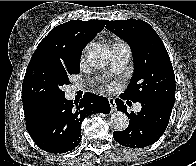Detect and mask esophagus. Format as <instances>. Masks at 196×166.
Returning a JSON list of instances; mask_svg holds the SVG:
<instances>
[{"label":"esophagus","instance_id":"obj_1","mask_svg":"<svg viewBox=\"0 0 196 166\" xmlns=\"http://www.w3.org/2000/svg\"><path fill=\"white\" fill-rule=\"evenodd\" d=\"M108 101L110 103V107H111V112H115L117 109L116 103H115V99L113 97H109Z\"/></svg>","mask_w":196,"mask_h":166}]
</instances>
